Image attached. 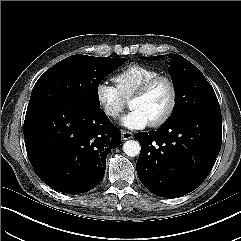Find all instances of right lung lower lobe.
Returning a JSON list of instances; mask_svg holds the SVG:
<instances>
[{"instance_id":"1","label":"right lung lower lobe","mask_w":241,"mask_h":241,"mask_svg":"<svg viewBox=\"0 0 241 241\" xmlns=\"http://www.w3.org/2000/svg\"><path fill=\"white\" fill-rule=\"evenodd\" d=\"M24 139L36 175L56 191L78 194L101 182L121 132L101 108L50 97L29 102Z\"/></svg>"}]
</instances>
